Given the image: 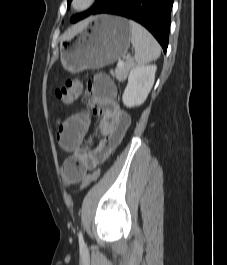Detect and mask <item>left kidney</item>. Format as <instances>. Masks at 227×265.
<instances>
[{
    "instance_id": "1",
    "label": "left kidney",
    "mask_w": 227,
    "mask_h": 265,
    "mask_svg": "<svg viewBox=\"0 0 227 265\" xmlns=\"http://www.w3.org/2000/svg\"><path fill=\"white\" fill-rule=\"evenodd\" d=\"M155 65L133 67L128 76V83L122 96L126 107L140 106L146 100L155 79Z\"/></svg>"
}]
</instances>
